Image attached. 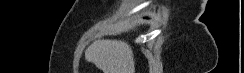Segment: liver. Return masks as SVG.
<instances>
[{
  "label": "liver",
  "instance_id": "obj_1",
  "mask_svg": "<svg viewBox=\"0 0 244 73\" xmlns=\"http://www.w3.org/2000/svg\"><path fill=\"white\" fill-rule=\"evenodd\" d=\"M87 61L93 62L103 73H134L133 51L122 40H98L85 51Z\"/></svg>",
  "mask_w": 244,
  "mask_h": 73
}]
</instances>
